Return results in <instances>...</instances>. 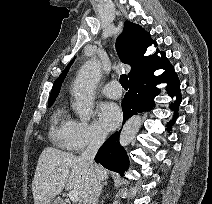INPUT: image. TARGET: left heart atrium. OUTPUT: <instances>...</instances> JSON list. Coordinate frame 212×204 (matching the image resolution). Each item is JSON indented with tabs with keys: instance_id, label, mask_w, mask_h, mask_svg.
Returning <instances> with one entry per match:
<instances>
[{
	"instance_id": "obj_1",
	"label": "left heart atrium",
	"mask_w": 212,
	"mask_h": 204,
	"mask_svg": "<svg viewBox=\"0 0 212 204\" xmlns=\"http://www.w3.org/2000/svg\"><path fill=\"white\" fill-rule=\"evenodd\" d=\"M99 120L106 130L115 129L122 120V111L114 102H104L98 108Z\"/></svg>"
}]
</instances>
